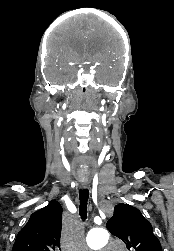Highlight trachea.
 <instances>
[{
	"label": "trachea",
	"instance_id": "1",
	"mask_svg": "<svg viewBox=\"0 0 174 251\" xmlns=\"http://www.w3.org/2000/svg\"><path fill=\"white\" fill-rule=\"evenodd\" d=\"M89 199V191L87 189H82L79 192V214L81 216L82 220H85L87 218V204Z\"/></svg>",
	"mask_w": 174,
	"mask_h": 251
}]
</instances>
